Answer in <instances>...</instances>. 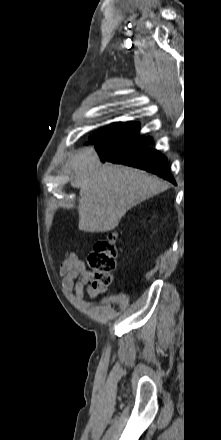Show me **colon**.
I'll return each mask as SVG.
<instances>
[{"instance_id": "1", "label": "colon", "mask_w": 221, "mask_h": 440, "mask_svg": "<svg viewBox=\"0 0 221 440\" xmlns=\"http://www.w3.org/2000/svg\"><path fill=\"white\" fill-rule=\"evenodd\" d=\"M116 240V234H110L107 239L96 242L88 255V264L94 277L103 286L111 284L112 272L116 268L118 257Z\"/></svg>"}]
</instances>
